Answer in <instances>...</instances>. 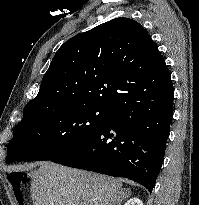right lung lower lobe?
I'll use <instances>...</instances> for the list:
<instances>
[{
  "instance_id": "1",
  "label": "right lung lower lobe",
  "mask_w": 199,
  "mask_h": 205,
  "mask_svg": "<svg viewBox=\"0 0 199 205\" xmlns=\"http://www.w3.org/2000/svg\"><path fill=\"white\" fill-rule=\"evenodd\" d=\"M170 73L154 87L116 104L106 126L85 143L52 162L129 178L151 193L165 154L173 116Z\"/></svg>"
}]
</instances>
